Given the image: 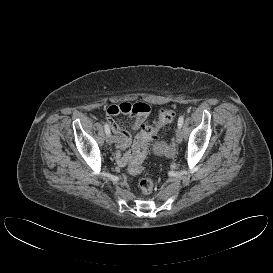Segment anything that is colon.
Here are the masks:
<instances>
[{
  "mask_svg": "<svg viewBox=\"0 0 273 273\" xmlns=\"http://www.w3.org/2000/svg\"><path fill=\"white\" fill-rule=\"evenodd\" d=\"M175 118L172 109H164L159 113L158 119L153 125H145L142 129L141 140L135 146L128 170L133 175H138L144 170V162L147 156L148 145L156 136L158 129L171 123ZM138 186L145 195L153 191L154 182L150 177H143L139 180Z\"/></svg>",
  "mask_w": 273,
  "mask_h": 273,
  "instance_id": "colon-1",
  "label": "colon"
}]
</instances>
